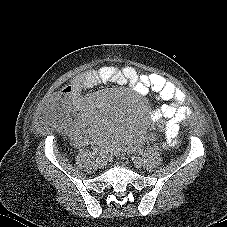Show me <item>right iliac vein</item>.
<instances>
[{
    "mask_svg": "<svg viewBox=\"0 0 227 227\" xmlns=\"http://www.w3.org/2000/svg\"><path fill=\"white\" fill-rule=\"evenodd\" d=\"M104 165H105V163H104V161H103L101 158H97V159H96V166H97L98 168H103Z\"/></svg>",
    "mask_w": 227,
    "mask_h": 227,
    "instance_id": "obj_1",
    "label": "right iliac vein"
}]
</instances>
